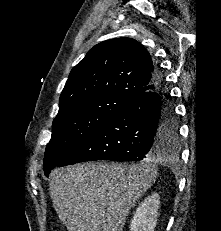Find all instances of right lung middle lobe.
<instances>
[{
    "mask_svg": "<svg viewBox=\"0 0 221 231\" xmlns=\"http://www.w3.org/2000/svg\"><path fill=\"white\" fill-rule=\"evenodd\" d=\"M127 101L113 95H98L83 98L60 109L53 121L51 140L45 150V175L91 137ZM172 122L173 130L165 137H169L177 145L178 128L175 115Z\"/></svg>",
    "mask_w": 221,
    "mask_h": 231,
    "instance_id": "obj_1",
    "label": "right lung middle lobe"
}]
</instances>
